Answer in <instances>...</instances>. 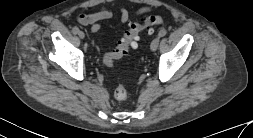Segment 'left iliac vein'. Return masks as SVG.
I'll list each match as a JSON object with an SVG mask.
<instances>
[{
	"label": "left iliac vein",
	"instance_id": "4c4485c4",
	"mask_svg": "<svg viewBox=\"0 0 253 138\" xmlns=\"http://www.w3.org/2000/svg\"><path fill=\"white\" fill-rule=\"evenodd\" d=\"M158 44H159V37L157 36L152 40L150 44V49L152 52L156 51Z\"/></svg>",
	"mask_w": 253,
	"mask_h": 138
}]
</instances>
